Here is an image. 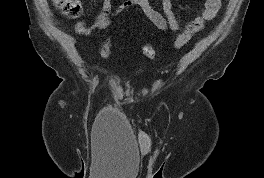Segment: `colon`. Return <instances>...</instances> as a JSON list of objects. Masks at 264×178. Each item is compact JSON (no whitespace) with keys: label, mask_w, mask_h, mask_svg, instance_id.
<instances>
[{"label":"colon","mask_w":264,"mask_h":178,"mask_svg":"<svg viewBox=\"0 0 264 178\" xmlns=\"http://www.w3.org/2000/svg\"><path fill=\"white\" fill-rule=\"evenodd\" d=\"M53 5L57 7L64 15L70 18H78L82 14V5L80 0H51ZM192 34L188 31L182 32L175 40L176 48L184 47L191 39ZM111 52V43L105 40L100 45V54L103 58H108ZM143 54L149 58L154 59L157 56L156 50L151 45H144L142 47Z\"/></svg>","instance_id":"1"}]
</instances>
